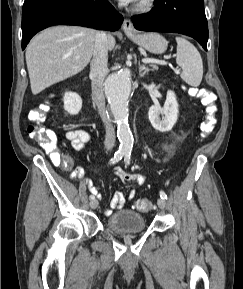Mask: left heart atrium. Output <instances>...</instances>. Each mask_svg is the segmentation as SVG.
Wrapping results in <instances>:
<instances>
[{
	"mask_svg": "<svg viewBox=\"0 0 243 289\" xmlns=\"http://www.w3.org/2000/svg\"><path fill=\"white\" fill-rule=\"evenodd\" d=\"M120 1H122V2H124V3H132V2H134L135 0H120Z\"/></svg>",
	"mask_w": 243,
	"mask_h": 289,
	"instance_id": "obj_1",
	"label": "left heart atrium"
}]
</instances>
